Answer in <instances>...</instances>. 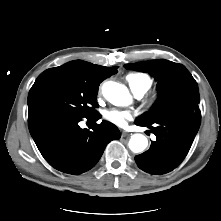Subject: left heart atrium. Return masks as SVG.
<instances>
[{
    "label": "left heart atrium",
    "instance_id": "obj_1",
    "mask_svg": "<svg viewBox=\"0 0 221 221\" xmlns=\"http://www.w3.org/2000/svg\"><path fill=\"white\" fill-rule=\"evenodd\" d=\"M104 117L106 120L113 123L114 125L124 127L127 121L130 120L132 116L127 111L111 109L105 112Z\"/></svg>",
    "mask_w": 221,
    "mask_h": 221
}]
</instances>
